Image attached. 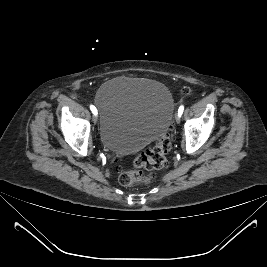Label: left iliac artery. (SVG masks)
Wrapping results in <instances>:
<instances>
[{"instance_id": "left-iliac-artery-1", "label": "left iliac artery", "mask_w": 267, "mask_h": 267, "mask_svg": "<svg viewBox=\"0 0 267 267\" xmlns=\"http://www.w3.org/2000/svg\"><path fill=\"white\" fill-rule=\"evenodd\" d=\"M184 110V106H180L178 109V115L181 116Z\"/></svg>"}]
</instances>
